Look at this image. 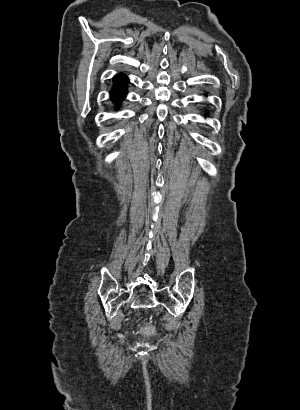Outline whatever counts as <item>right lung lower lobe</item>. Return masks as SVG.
Wrapping results in <instances>:
<instances>
[{"label": "right lung lower lobe", "instance_id": "98d812e1", "mask_svg": "<svg viewBox=\"0 0 300 410\" xmlns=\"http://www.w3.org/2000/svg\"><path fill=\"white\" fill-rule=\"evenodd\" d=\"M129 80L123 75H118L112 79L111 88L109 91L110 102L113 110L120 109L122 102L125 100L128 92Z\"/></svg>", "mask_w": 300, "mask_h": 410}]
</instances>
